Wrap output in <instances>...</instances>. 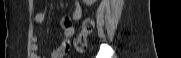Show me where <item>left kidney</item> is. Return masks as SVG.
<instances>
[{"label": "left kidney", "instance_id": "obj_1", "mask_svg": "<svg viewBox=\"0 0 181 58\" xmlns=\"http://www.w3.org/2000/svg\"><path fill=\"white\" fill-rule=\"evenodd\" d=\"M83 2H84L87 6H91L94 2H96V0H83Z\"/></svg>", "mask_w": 181, "mask_h": 58}]
</instances>
